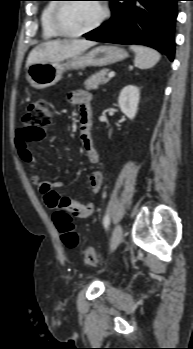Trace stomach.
<instances>
[{
    "label": "stomach",
    "mask_w": 193,
    "mask_h": 349,
    "mask_svg": "<svg viewBox=\"0 0 193 349\" xmlns=\"http://www.w3.org/2000/svg\"><path fill=\"white\" fill-rule=\"evenodd\" d=\"M127 56L128 53L123 48L101 45L65 62L34 63L27 69L26 78L32 87L44 89L55 85L67 70H78L88 66L103 67L121 61Z\"/></svg>",
    "instance_id": "0dacf381"
}]
</instances>
